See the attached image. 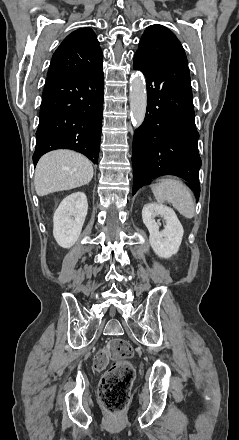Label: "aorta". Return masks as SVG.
Segmentation results:
<instances>
[{
	"label": "aorta",
	"mask_w": 239,
	"mask_h": 440,
	"mask_svg": "<svg viewBox=\"0 0 239 440\" xmlns=\"http://www.w3.org/2000/svg\"><path fill=\"white\" fill-rule=\"evenodd\" d=\"M147 108V92L145 82L141 78L131 80L130 88V110L136 128L144 122Z\"/></svg>",
	"instance_id": "1"
}]
</instances>
